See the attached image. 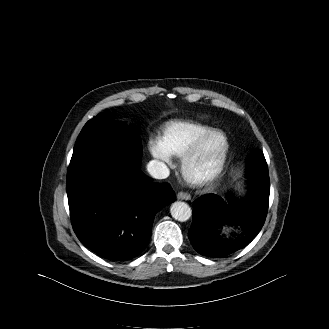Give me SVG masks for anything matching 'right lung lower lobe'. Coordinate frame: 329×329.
<instances>
[{"mask_svg":"<svg viewBox=\"0 0 329 329\" xmlns=\"http://www.w3.org/2000/svg\"><path fill=\"white\" fill-rule=\"evenodd\" d=\"M72 226L84 246L99 256L124 261L147 246L156 213L175 201L167 183H153L139 162L112 154L68 171Z\"/></svg>","mask_w":329,"mask_h":329,"instance_id":"right-lung-lower-lobe-1","label":"right lung lower lobe"}]
</instances>
